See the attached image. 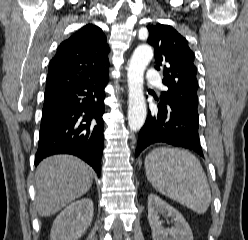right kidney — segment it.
Listing matches in <instances>:
<instances>
[{
	"label": "right kidney",
	"mask_w": 248,
	"mask_h": 240,
	"mask_svg": "<svg viewBox=\"0 0 248 240\" xmlns=\"http://www.w3.org/2000/svg\"><path fill=\"white\" fill-rule=\"evenodd\" d=\"M93 212V201L89 198L71 203L54 220L50 239L78 240L90 226Z\"/></svg>",
	"instance_id": "obj_1"
}]
</instances>
